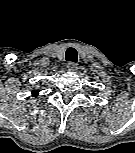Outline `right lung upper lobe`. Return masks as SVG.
<instances>
[{"mask_svg":"<svg viewBox=\"0 0 135 153\" xmlns=\"http://www.w3.org/2000/svg\"><path fill=\"white\" fill-rule=\"evenodd\" d=\"M32 95H33V96L38 95V91H35V90H34V91H32Z\"/></svg>","mask_w":135,"mask_h":153,"instance_id":"1","label":"right lung upper lobe"}]
</instances>
